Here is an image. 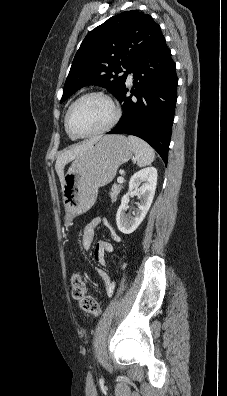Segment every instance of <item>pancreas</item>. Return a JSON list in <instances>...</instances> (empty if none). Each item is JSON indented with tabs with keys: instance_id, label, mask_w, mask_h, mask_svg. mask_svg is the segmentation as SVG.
<instances>
[{
	"instance_id": "pancreas-1",
	"label": "pancreas",
	"mask_w": 227,
	"mask_h": 396,
	"mask_svg": "<svg viewBox=\"0 0 227 396\" xmlns=\"http://www.w3.org/2000/svg\"><path fill=\"white\" fill-rule=\"evenodd\" d=\"M122 189V185L114 184L111 189L110 197L112 202H114Z\"/></svg>"
}]
</instances>
